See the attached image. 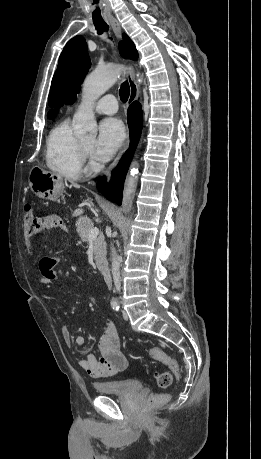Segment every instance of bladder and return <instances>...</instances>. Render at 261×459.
I'll use <instances>...</instances> for the list:
<instances>
[{
  "label": "bladder",
  "instance_id": "1",
  "mask_svg": "<svg viewBox=\"0 0 261 459\" xmlns=\"http://www.w3.org/2000/svg\"><path fill=\"white\" fill-rule=\"evenodd\" d=\"M98 394L130 395L142 389V383L137 379L110 380L93 384Z\"/></svg>",
  "mask_w": 261,
  "mask_h": 459
}]
</instances>
